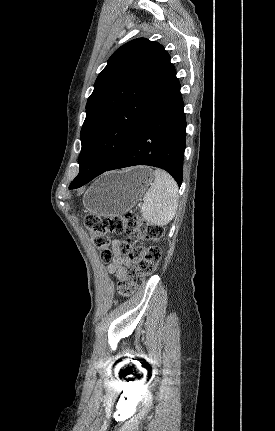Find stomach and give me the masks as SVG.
<instances>
[{
	"mask_svg": "<svg viewBox=\"0 0 275 431\" xmlns=\"http://www.w3.org/2000/svg\"><path fill=\"white\" fill-rule=\"evenodd\" d=\"M151 168L138 166L101 176L83 197L91 214L118 216L132 209L152 184Z\"/></svg>",
	"mask_w": 275,
	"mask_h": 431,
	"instance_id": "obj_1",
	"label": "stomach"
}]
</instances>
